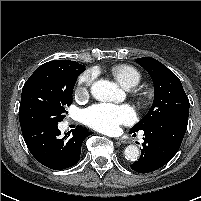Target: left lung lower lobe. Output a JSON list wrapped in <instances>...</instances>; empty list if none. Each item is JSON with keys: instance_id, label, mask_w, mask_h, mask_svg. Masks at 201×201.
Instances as JSON below:
<instances>
[{"instance_id": "obj_1", "label": "left lung lower lobe", "mask_w": 201, "mask_h": 201, "mask_svg": "<svg viewBox=\"0 0 201 201\" xmlns=\"http://www.w3.org/2000/svg\"><path fill=\"white\" fill-rule=\"evenodd\" d=\"M187 125L188 118L174 116L144 128L141 156L130 167L138 173H149L163 167L179 150Z\"/></svg>"}]
</instances>
